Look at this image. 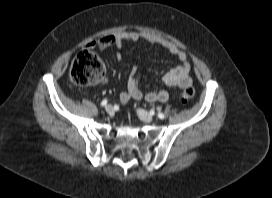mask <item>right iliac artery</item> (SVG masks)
<instances>
[{
	"label": "right iliac artery",
	"mask_w": 272,
	"mask_h": 198,
	"mask_svg": "<svg viewBox=\"0 0 272 198\" xmlns=\"http://www.w3.org/2000/svg\"><path fill=\"white\" fill-rule=\"evenodd\" d=\"M107 104V100L104 99L102 102H101V106H105Z\"/></svg>",
	"instance_id": "1"
}]
</instances>
